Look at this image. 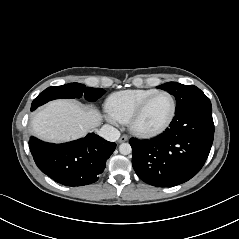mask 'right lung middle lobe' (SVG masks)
Segmentation results:
<instances>
[{
    "label": "right lung middle lobe",
    "mask_w": 239,
    "mask_h": 239,
    "mask_svg": "<svg viewBox=\"0 0 239 239\" xmlns=\"http://www.w3.org/2000/svg\"><path fill=\"white\" fill-rule=\"evenodd\" d=\"M105 92L102 88H87L85 85L79 83L48 87L33 100L31 111L50 100L58 98L85 97L87 101H96Z\"/></svg>",
    "instance_id": "dd1d6c3e"
}]
</instances>
